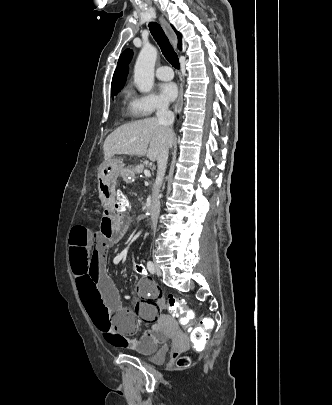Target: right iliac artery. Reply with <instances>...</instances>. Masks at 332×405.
<instances>
[{"mask_svg": "<svg viewBox=\"0 0 332 405\" xmlns=\"http://www.w3.org/2000/svg\"><path fill=\"white\" fill-rule=\"evenodd\" d=\"M147 269L151 274L155 273V268H154V264L151 261L147 262Z\"/></svg>", "mask_w": 332, "mask_h": 405, "instance_id": "82829eb1", "label": "right iliac artery"}]
</instances>
